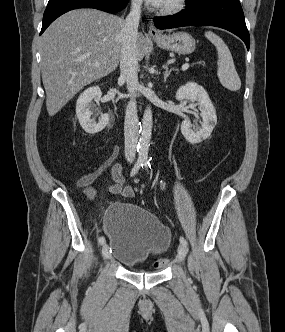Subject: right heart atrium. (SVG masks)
Instances as JSON below:
<instances>
[{
	"label": "right heart atrium",
	"instance_id": "right-heart-atrium-1",
	"mask_svg": "<svg viewBox=\"0 0 285 332\" xmlns=\"http://www.w3.org/2000/svg\"><path fill=\"white\" fill-rule=\"evenodd\" d=\"M142 0H131V3L135 7H139L141 5Z\"/></svg>",
	"mask_w": 285,
	"mask_h": 332
}]
</instances>
